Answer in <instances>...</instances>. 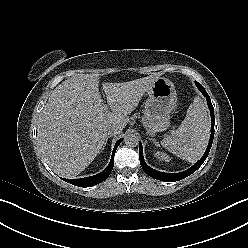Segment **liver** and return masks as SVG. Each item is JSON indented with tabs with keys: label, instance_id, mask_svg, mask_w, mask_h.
Wrapping results in <instances>:
<instances>
[{
	"label": "liver",
	"instance_id": "1",
	"mask_svg": "<svg viewBox=\"0 0 248 248\" xmlns=\"http://www.w3.org/2000/svg\"><path fill=\"white\" fill-rule=\"evenodd\" d=\"M160 73L123 83H103L112 112L104 109L99 75L80 74L63 81L51 93L39 119L37 140L46 163L62 177L80 174L108 138L106 127L121 130L129 122L146 90Z\"/></svg>",
	"mask_w": 248,
	"mask_h": 248
}]
</instances>
